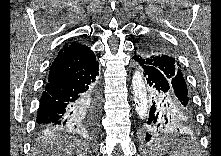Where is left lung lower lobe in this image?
I'll list each match as a JSON object with an SVG mask.
<instances>
[{
    "label": "left lung lower lobe",
    "mask_w": 221,
    "mask_h": 156,
    "mask_svg": "<svg viewBox=\"0 0 221 156\" xmlns=\"http://www.w3.org/2000/svg\"><path fill=\"white\" fill-rule=\"evenodd\" d=\"M136 61L142 68L145 84L144 142L192 128L194 111L177 98L173 76L167 71Z\"/></svg>",
    "instance_id": "obj_1"
}]
</instances>
